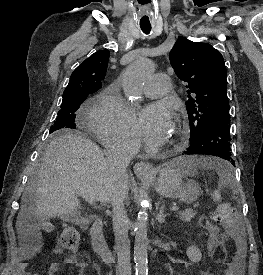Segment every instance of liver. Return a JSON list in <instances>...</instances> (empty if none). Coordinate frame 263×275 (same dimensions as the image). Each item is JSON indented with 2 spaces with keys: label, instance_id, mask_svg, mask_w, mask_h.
<instances>
[{
  "label": "liver",
  "instance_id": "6515ba94",
  "mask_svg": "<svg viewBox=\"0 0 263 275\" xmlns=\"http://www.w3.org/2000/svg\"><path fill=\"white\" fill-rule=\"evenodd\" d=\"M78 191L107 204L120 187L97 144L68 132L55 137L48 145L38 181L33 187H27L22 197L17 229L32 218L76 220L81 208Z\"/></svg>",
  "mask_w": 263,
  "mask_h": 275
}]
</instances>
